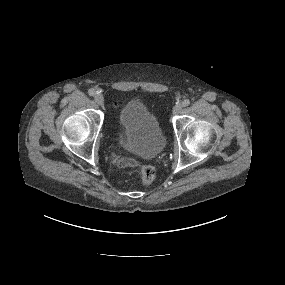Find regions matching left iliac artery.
<instances>
[{
  "label": "left iliac artery",
  "mask_w": 285,
  "mask_h": 285,
  "mask_svg": "<svg viewBox=\"0 0 285 285\" xmlns=\"http://www.w3.org/2000/svg\"><path fill=\"white\" fill-rule=\"evenodd\" d=\"M190 104V101L188 99H185L183 102H182V105L184 107L188 106Z\"/></svg>",
  "instance_id": "44dca946"
}]
</instances>
